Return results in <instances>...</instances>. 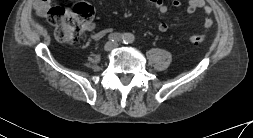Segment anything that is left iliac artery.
Here are the masks:
<instances>
[{
    "mask_svg": "<svg viewBox=\"0 0 253 138\" xmlns=\"http://www.w3.org/2000/svg\"><path fill=\"white\" fill-rule=\"evenodd\" d=\"M132 41V37L130 35H125L123 37V42L124 43H130Z\"/></svg>",
    "mask_w": 253,
    "mask_h": 138,
    "instance_id": "obj_1",
    "label": "left iliac artery"
}]
</instances>
